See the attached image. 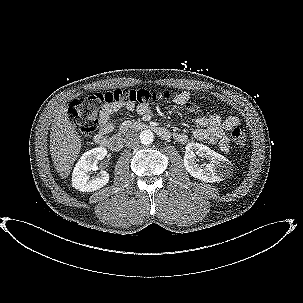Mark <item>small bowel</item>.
<instances>
[{
  "label": "small bowel",
  "mask_w": 303,
  "mask_h": 303,
  "mask_svg": "<svg viewBox=\"0 0 303 303\" xmlns=\"http://www.w3.org/2000/svg\"><path fill=\"white\" fill-rule=\"evenodd\" d=\"M173 98L177 104H184L188 102L189 94L187 92H180L175 94ZM196 108L201 113L196 120V123L200 128L193 132V137L198 140L217 143L223 150H227L229 139L226 132L240 124L239 118L236 116H229L225 120H222L218 114L210 112L201 104L197 105ZM121 109H125L129 112L137 110V112L142 115L150 114V109L147 104H138L136 106L134 104L126 103L106 104L99 113V130L96 136L98 142L100 139L106 138V136L112 132L113 124L110 122V117ZM174 138L182 143L187 140V135L177 132L174 134Z\"/></svg>",
  "instance_id": "1"
}]
</instances>
